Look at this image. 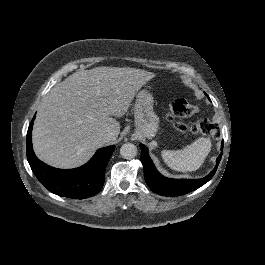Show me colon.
<instances>
[{
  "label": "colon",
  "instance_id": "1",
  "mask_svg": "<svg viewBox=\"0 0 265 265\" xmlns=\"http://www.w3.org/2000/svg\"><path fill=\"white\" fill-rule=\"evenodd\" d=\"M198 105L191 104L184 99H177L170 105L166 117L170 121L176 119L186 118L197 112ZM178 131H185L186 127L182 124H176ZM191 131L195 134H202L209 137H217L219 135V129L216 124H213L210 120L203 118L194 123L191 127Z\"/></svg>",
  "mask_w": 265,
  "mask_h": 265
}]
</instances>
